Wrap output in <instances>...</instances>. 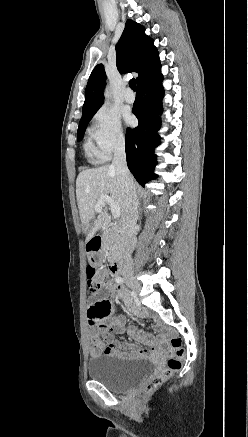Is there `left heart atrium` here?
I'll use <instances>...</instances> for the list:
<instances>
[{"instance_id":"obj_1","label":"left heart atrium","mask_w":248,"mask_h":437,"mask_svg":"<svg viewBox=\"0 0 248 437\" xmlns=\"http://www.w3.org/2000/svg\"><path fill=\"white\" fill-rule=\"evenodd\" d=\"M125 121L128 125L133 124L134 122V118L130 115V114H125Z\"/></svg>"}]
</instances>
